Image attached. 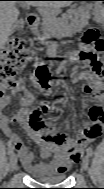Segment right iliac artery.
<instances>
[{"label": "right iliac artery", "mask_w": 104, "mask_h": 189, "mask_svg": "<svg viewBox=\"0 0 104 189\" xmlns=\"http://www.w3.org/2000/svg\"><path fill=\"white\" fill-rule=\"evenodd\" d=\"M13 153H14V148L11 147V146H9V148H8V154L12 155Z\"/></svg>", "instance_id": "right-iliac-artery-1"}]
</instances>
